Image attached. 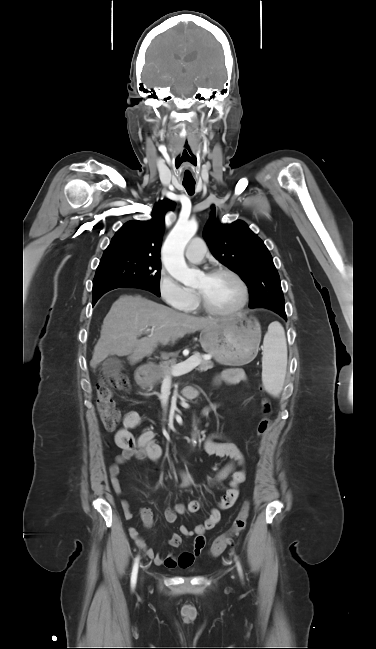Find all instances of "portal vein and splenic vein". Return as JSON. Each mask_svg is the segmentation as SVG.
Masks as SVG:
<instances>
[{"mask_svg":"<svg viewBox=\"0 0 376 649\" xmlns=\"http://www.w3.org/2000/svg\"><path fill=\"white\" fill-rule=\"evenodd\" d=\"M153 330V329H151ZM150 329L146 330V332H149ZM211 357L206 356L204 359L209 360ZM200 364V358L198 356H192L188 360L173 366V368L170 371V374L173 376H180L183 374H187L190 371H192L194 368H196ZM169 377H166V380H168Z\"/></svg>","mask_w":376,"mask_h":649,"instance_id":"portal-vein-and-splenic-vein-1","label":"portal vein and splenic vein"}]
</instances>
